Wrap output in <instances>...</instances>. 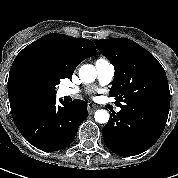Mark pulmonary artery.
I'll list each match as a JSON object with an SVG mask.
<instances>
[{
  "instance_id": "1",
  "label": "pulmonary artery",
  "mask_w": 178,
  "mask_h": 178,
  "mask_svg": "<svg viewBox=\"0 0 178 178\" xmlns=\"http://www.w3.org/2000/svg\"><path fill=\"white\" fill-rule=\"evenodd\" d=\"M95 66L97 71V77L100 84L101 85L109 84L113 80L115 74L114 66L106 60L97 61ZM76 94H77L76 90L70 89L68 87H62L60 89L61 96H73ZM117 111H120V108H117Z\"/></svg>"
}]
</instances>
